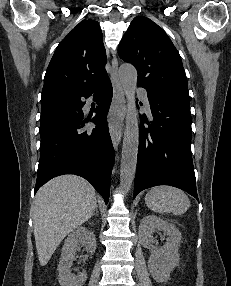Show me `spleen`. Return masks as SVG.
I'll return each mask as SVG.
<instances>
[{
    "label": "spleen",
    "instance_id": "spleen-1",
    "mask_svg": "<svg viewBox=\"0 0 231 286\" xmlns=\"http://www.w3.org/2000/svg\"><path fill=\"white\" fill-rule=\"evenodd\" d=\"M145 203L156 213L182 215L190 207V200L184 191L171 186L153 187L145 196Z\"/></svg>",
    "mask_w": 231,
    "mask_h": 286
}]
</instances>
